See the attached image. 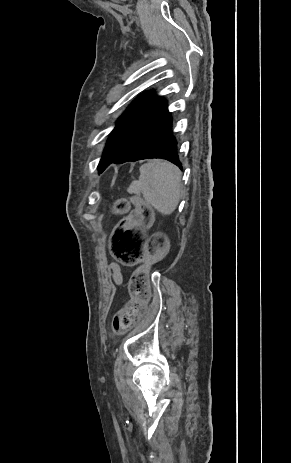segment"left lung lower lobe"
Instances as JSON below:
<instances>
[{
    "label": "left lung lower lobe",
    "instance_id": "left-lung-lower-lobe-1",
    "mask_svg": "<svg viewBox=\"0 0 291 463\" xmlns=\"http://www.w3.org/2000/svg\"><path fill=\"white\" fill-rule=\"evenodd\" d=\"M171 128V117L169 115L130 152L121 158H111L100 162L98 166L99 172L102 173L111 163L121 164L149 158L166 159L182 169L177 152V141L172 134Z\"/></svg>",
    "mask_w": 291,
    "mask_h": 463
}]
</instances>
